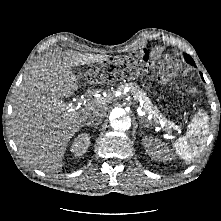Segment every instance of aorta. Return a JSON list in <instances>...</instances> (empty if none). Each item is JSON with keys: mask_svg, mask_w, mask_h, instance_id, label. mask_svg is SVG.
Returning a JSON list of instances; mask_svg holds the SVG:
<instances>
[{"mask_svg": "<svg viewBox=\"0 0 221 221\" xmlns=\"http://www.w3.org/2000/svg\"><path fill=\"white\" fill-rule=\"evenodd\" d=\"M110 125L116 131H126L131 127L132 119L124 109L116 108L111 112Z\"/></svg>", "mask_w": 221, "mask_h": 221, "instance_id": "aorta-1", "label": "aorta"}]
</instances>
